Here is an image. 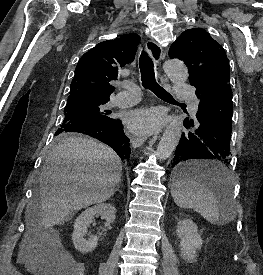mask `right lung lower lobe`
I'll return each instance as SVG.
<instances>
[{
  "label": "right lung lower lobe",
  "mask_w": 263,
  "mask_h": 275,
  "mask_svg": "<svg viewBox=\"0 0 263 275\" xmlns=\"http://www.w3.org/2000/svg\"><path fill=\"white\" fill-rule=\"evenodd\" d=\"M70 132L82 133L94 137L109 145L120 156L121 160L130 157L129 138L124 134L119 120L110 119L102 125H85L71 129Z\"/></svg>",
  "instance_id": "right-lung-lower-lobe-1"
}]
</instances>
